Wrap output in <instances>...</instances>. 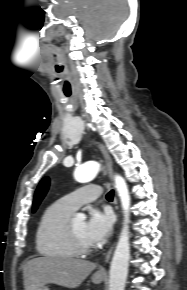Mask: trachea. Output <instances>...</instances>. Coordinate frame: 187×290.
Segmentation results:
<instances>
[{"label": "trachea", "mask_w": 187, "mask_h": 290, "mask_svg": "<svg viewBox=\"0 0 187 290\" xmlns=\"http://www.w3.org/2000/svg\"><path fill=\"white\" fill-rule=\"evenodd\" d=\"M113 196H114V191L111 190L110 192L107 193L106 198L108 200H112L113 199Z\"/></svg>", "instance_id": "3493384b"}]
</instances>
